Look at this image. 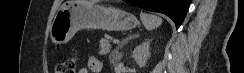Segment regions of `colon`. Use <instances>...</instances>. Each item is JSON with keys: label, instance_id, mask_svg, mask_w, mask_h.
Here are the masks:
<instances>
[{"label": "colon", "instance_id": "obj_1", "mask_svg": "<svg viewBox=\"0 0 244 73\" xmlns=\"http://www.w3.org/2000/svg\"><path fill=\"white\" fill-rule=\"evenodd\" d=\"M76 64V58L69 57L56 66L55 73H75Z\"/></svg>", "mask_w": 244, "mask_h": 73}]
</instances>
